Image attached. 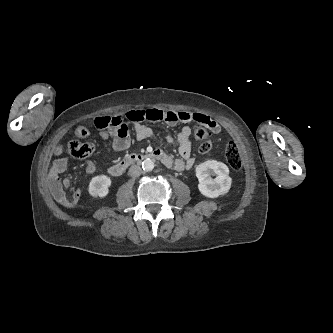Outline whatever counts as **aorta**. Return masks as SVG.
I'll return each instance as SVG.
<instances>
[{
  "label": "aorta",
  "instance_id": "762f6f07",
  "mask_svg": "<svg viewBox=\"0 0 333 333\" xmlns=\"http://www.w3.org/2000/svg\"><path fill=\"white\" fill-rule=\"evenodd\" d=\"M154 166H155L154 162L151 159H149V158L145 159L142 162V168L146 172L152 171L154 169Z\"/></svg>",
  "mask_w": 333,
  "mask_h": 333
}]
</instances>
